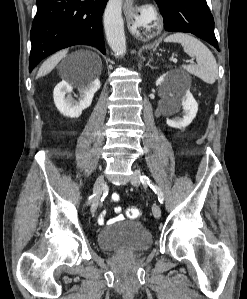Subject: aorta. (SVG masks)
<instances>
[{
	"instance_id": "obj_1",
	"label": "aorta",
	"mask_w": 247,
	"mask_h": 299,
	"mask_svg": "<svg viewBox=\"0 0 247 299\" xmlns=\"http://www.w3.org/2000/svg\"><path fill=\"white\" fill-rule=\"evenodd\" d=\"M104 30L107 42L116 55L126 53V38L122 18V0H109L104 11Z\"/></svg>"
}]
</instances>
